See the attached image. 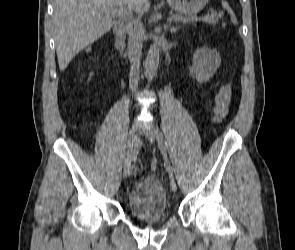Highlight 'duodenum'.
Masks as SVG:
<instances>
[{
    "mask_svg": "<svg viewBox=\"0 0 295 250\" xmlns=\"http://www.w3.org/2000/svg\"><path fill=\"white\" fill-rule=\"evenodd\" d=\"M128 23L126 21H118L114 25V34H115V47L119 51L125 49V38L127 31Z\"/></svg>",
    "mask_w": 295,
    "mask_h": 250,
    "instance_id": "obj_1",
    "label": "duodenum"
}]
</instances>
